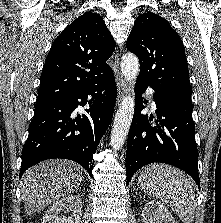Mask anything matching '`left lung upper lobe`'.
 I'll return each mask as SVG.
<instances>
[{"instance_id":"obj_1","label":"left lung upper lobe","mask_w":221,"mask_h":223,"mask_svg":"<svg viewBox=\"0 0 221 223\" xmlns=\"http://www.w3.org/2000/svg\"><path fill=\"white\" fill-rule=\"evenodd\" d=\"M126 47L140 61L138 81L155 91L191 102V85L183 43L168 21L146 12L137 17Z\"/></svg>"}]
</instances>
